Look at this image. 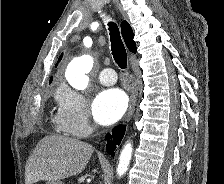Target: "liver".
Segmentation results:
<instances>
[{
  "mask_svg": "<svg viewBox=\"0 0 224 184\" xmlns=\"http://www.w3.org/2000/svg\"><path fill=\"white\" fill-rule=\"evenodd\" d=\"M93 153L92 145L62 135H49L36 145L25 166V184L55 181L80 174Z\"/></svg>",
  "mask_w": 224,
  "mask_h": 184,
  "instance_id": "obj_1",
  "label": "liver"
}]
</instances>
